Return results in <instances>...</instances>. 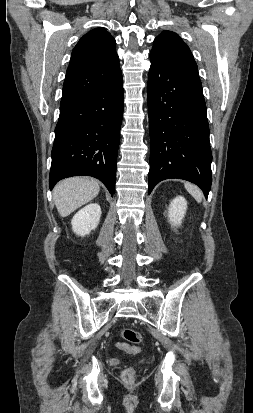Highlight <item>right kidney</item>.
<instances>
[{"label": "right kidney", "mask_w": 253, "mask_h": 413, "mask_svg": "<svg viewBox=\"0 0 253 413\" xmlns=\"http://www.w3.org/2000/svg\"><path fill=\"white\" fill-rule=\"evenodd\" d=\"M101 208L97 203H91L79 210L71 220L72 230L80 236L88 235L98 226Z\"/></svg>", "instance_id": "right-kidney-1"}]
</instances>
